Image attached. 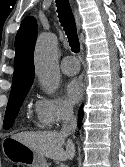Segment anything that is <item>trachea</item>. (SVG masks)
Segmentation results:
<instances>
[{"label": "trachea", "mask_w": 125, "mask_h": 167, "mask_svg": "<svg viewBox=\"0 0 125 167\" xmlns=\"http://www.w3.org/2000/svg\"><path fill=\"white\" fill-rule=\"evenodd\" d=\"M58 17L64 31L68 37L71 50L78 53L80 50L74 16L69 4V0H56Z\"/></svg>", "instance_id": "1"}]
</instances>
